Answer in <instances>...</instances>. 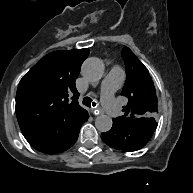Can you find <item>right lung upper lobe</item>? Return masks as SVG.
<instances>
[{"label":"right lung upper lobe","instance_id":"obj_1","mask_svg":"<svg viewBox=\"0 0 193 193\" xmlns=\"http://www.w3.org/2000/svg\"><path fill=\"white\" fill-rule=\"evenodd\" d=\"M89 49L56 51L44 56L21 79L16 115L29 144L38 151L67 143L87 121L78 104L75 80Z\"/></svg>","mask_w":193,"mask_h":193}]
</instances>
